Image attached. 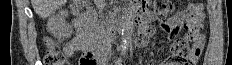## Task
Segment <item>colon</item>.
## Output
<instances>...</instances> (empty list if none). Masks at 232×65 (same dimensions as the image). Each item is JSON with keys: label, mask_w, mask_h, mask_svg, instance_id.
I'll return each instance as SVG.
<instances>
[{"label": "colon", "mask_w": 232, "mask_h": 65, "mask_svg": "<svg viewBox=\"0 0 232 65\" xmlns=\"http://www.w3.org/2000/svg\"><path fill=\"white\" fill-rule=\"evenodd\" d=\"M154 8L160 19L165 22L171 16L173 3L171 0H156ZM204 19L201 3H192L186 10L185 39H178L172 45L173 60L189 65V58L194 51L193 43L202 30ZM202 33V32H201ZM47 54L44 58L45 65H66L65 55L61 52L59 43L52 38L46 39ZM80 65H95V59L91 52H84L80 59Z\"/></svg>", "instance_id": "1"}]
</instances>
